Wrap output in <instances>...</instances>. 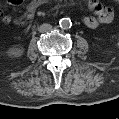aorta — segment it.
I'll use <instances>...</instances> for the list:
<instances>
[{
	"label": "aorta",
	"instance_id": "1",
	"mask_svg": "<svg viewBox=\"0 0 119 119\" xmlns=\"http://www.w3.org/2000/svg\"><path fill=\"white\" fill-rule=\"evenodd\" d=\"M59 25L61 28L68 29L72 26L71 20L68 18H62L59 20Z\"/></svg>",
	"mask_w": 119,
	"mask_h": 119
}]
</instances>
